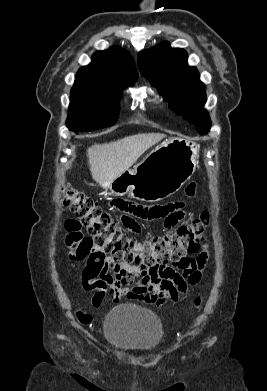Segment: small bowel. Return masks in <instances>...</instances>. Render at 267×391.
<instances>
[{
	"instance_id": "1",
	"label": "small bowel",
	"mask_w": 267,
	"mask_h": 391,
	"mask_svg": "<svg viewBox=\"0 0 267 391\" xmlns=\"http://www.w3.org/2000/svg\"><path fill=\"white\" fill-rule=\"evenodd\" d=\"M194 190L193 184L188 185L187 195L192 196ZM110 206L121 213L123 226L135 234L141 232V226L135 218L162 219L165 229L171 230L186 216L182 201L143 207L117 199L113 200ZM65 229V244L69 249V257L75 261L87 260L82 275L83 285L86 289L95 290L93 305L96 308L101 305L106 292L112 299L124 296L157 306H162L169 300L177 301L187 292L189 286L201 280L202 269L208 259V252L203 250L195 257L185 258L179 265H167L156 272H149L140 266L123 265L100 252L83 253L74 242L75 238L83 236L79 221L67 219ZM76 315L82 323L91 321V316L87 313L79 311Z\"/></svg>"
}]
</instances>
